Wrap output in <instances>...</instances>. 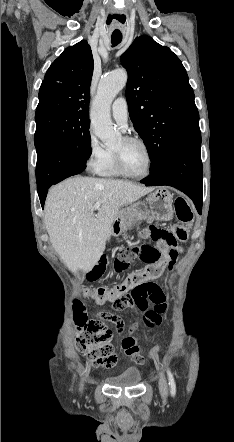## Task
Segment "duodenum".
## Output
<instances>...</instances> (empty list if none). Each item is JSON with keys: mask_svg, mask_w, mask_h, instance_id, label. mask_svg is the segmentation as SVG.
<instances>
[{"mask_svg": "<svg viewBox=\"0 0 234 442\" xmlns=\"http://www.w3.org/2000/svg\"><path fill=\"white\" fill-rule=\"evenodd\" d=\"M119 231H120L119 225H118L117 223L114 224L111 233H112L113 235H116V234L119 233Z\"/></svg>", "mask_w": 234, "mask_h": 442, "instance_id": "410a0bca", "label": "duodenum"}]
</instances>
